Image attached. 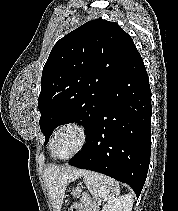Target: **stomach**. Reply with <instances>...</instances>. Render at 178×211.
Segmentation results:
<instances>
[{"label": "stomach", "mask_w": 178, "mask_h": 211, "mask_svg": "<svg viewBox=\"0 0 178 211\" xmlns=\"http://www.w3.org/2000/svg\"><path fill=\"white\" fill-rule=\"evenodd\" d=\"M82 188L81 187H77L73 190L72 195L74 198H79L80 194H81Z\"/></svg>", "instance_id": "0dacf381"}]
</instances>
